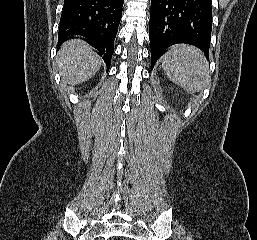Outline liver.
<instances>
[{"label": "liver", "mask_w": 257, "mask_h": 240, "mask_svg": "<svg viewBox=\"0 0 257 240\" xmlns=\"http://www.w3.org/2000/svg\"><path fill=\"white\" fill-rule=\"evenodd\" d=\"M56 64L62 82L77 85L90 79L100 69L102 60L86 42L72 39L61 46Z\"/></svg>", "instance_id": "obj_1"}]
</instances>
